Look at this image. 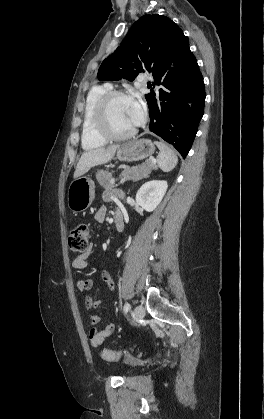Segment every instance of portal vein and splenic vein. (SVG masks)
Returning <instances> with one entry per match:
<instances>
[{"label":"portal vein and splenic vein","mask_w":264,"mask_h":419,"mask_svg":"<svg viewBox=\"0 0 264 419\" xmlns=\"http://www.w3.org/2000/svg\"><path fill=\"white\" fill-rule=\"evenodd\" d=\"M153 162L155 163L156 161H155V160H153ZM130 176H132V175H130ZM130 176H129V175H127V176H125L124 178H122V179H121V181H120V183H121V184H123V183L125 182V180H126L127 178H129Z\"/></svg>","instance_id":"1"}]
</instances>
